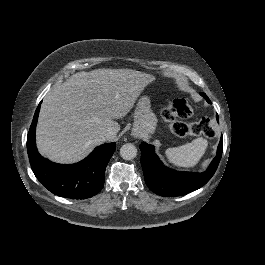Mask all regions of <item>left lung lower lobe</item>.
Segmentation results:
<instances>
[{
    "label": "left lung lower lobe",
    "instance_id": "obj_1",
    "mask_svg": "<svg viewBox=\"0 0 265 265\" xmlns=\"http://www.w3.org/2000/svg\"><path fill=\"white\" fill-rule=\"evenodd\" d=\"M202 96L211 103L206 94ZM218 120V115H217ZM222 137L217 155L203 173L178 172L165 167L154 153V148L145 142L140 144L141 165L144 180L154 193L164 197L185 195L205 185L215 173L222 156Z\"/></svg>",
    "mask_w": 265,
    "mask_h": 265
}]
</instances>
